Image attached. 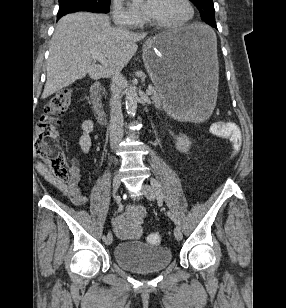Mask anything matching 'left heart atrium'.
<instances>
[{"mask_svg": "<svg viewBox=\"0 0 286 308\" xmlns=\"http://www.w3.org/2000/svg\"><path fill=\"white\" fill-rule=\"evenodd\" d=\"M156 0H132V7L148 16H150L153 12Z\"/></svg>", "mask_w": 286, "mask_h": 308, "instance_id": "39dd6f15", "label": "left heart atrium"}]
</instances>
